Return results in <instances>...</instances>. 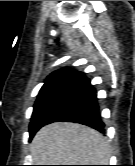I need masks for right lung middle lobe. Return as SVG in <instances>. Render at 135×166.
Here are the masks:
<instances>
[{
  "label": "right lung middle lobe",
  "instance_id": "1",
  "mask_svg": "<svg viewBox=\"0 0 135 166\" xmlns=\"http://www.w3.org/2000/svg\"><path fill=\"white\" fill-rule=\"evenodd\" d=\"M71 100L72 95L68 88L54 91L38 99L29 126L30 139L42 126L51 123L66 111Z\"/></svg>",
  "mask_w": 135,
  "mask_h": 166
}]
</instances>
